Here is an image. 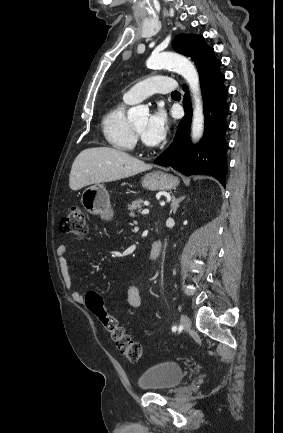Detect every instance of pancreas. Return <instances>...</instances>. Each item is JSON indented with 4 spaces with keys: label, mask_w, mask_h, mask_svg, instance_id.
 I'll return each instance as SVG.
<instances>
[{
    "label": "pancreas",
    "mask_w": 283,
    "mask_h": 433,
    "mask_svg": "<svg viewBox=\"0 0 283 433\" xmlns=\"http://www.w3.org/2000/svg\"><path fill=\"white\" fill-rule=\"evenodd\" d=\"M145 200L143 198H136V200H132V204H128V208L130 210L129 217H135V210H140V208H143Z\"/></svg>",
    "instance_id": "cf45deb5"
}]
</instances>
